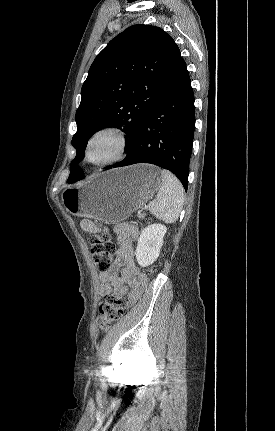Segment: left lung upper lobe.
I'll return each mask as SVG.
<instances>
[{"label":"left lung upper lobe","instance_id":"1","mask_svg":"<svg viewBox=\"0 0 275 431\" xmlns=\"http://www.w3.org/2000/svg\"><path fill=\"white\" fill-rule=\"evenodd\" d=\"M180 57L172 37L150 25L130 26L108 43L81 89L72 139L76 157L69 178L84 174L77 163L84 158L89 138L104 126L114 125L127 134L128 151Z\"/></svg>","mask_w":275,"mask_h":431}]
</instances>
